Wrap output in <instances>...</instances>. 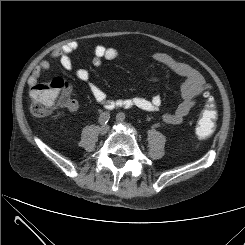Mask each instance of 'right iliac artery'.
I'll list each match as a JSON object with an SVG mask.
<instances>
[{
    "mask_svg": "<svg viewBox=\"0 0 245 245\" xmlns=\"http://www.w3.org/2000/svg\"><path fill=\"white\" fill-rule=\"evenodd\" d=\"M110 119V114L109 112L105 111V112H102L100 117H99V123L100 124H107L108 121Z\"/></svg>",
    "mask_w": 245,
    "mask_h": 245,
    "instance_id": "1",
    "label": "right iliac artery"
}]
</instances>
